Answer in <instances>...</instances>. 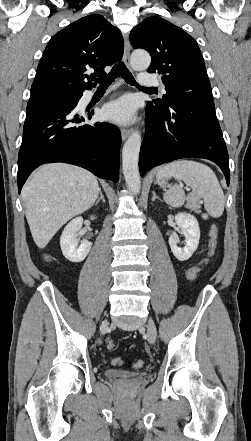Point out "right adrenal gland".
<instances>
[{
	"label": "right adrenal gland",
	"instance_id": "2a0ac1e0",
	"mask_svg": "<svg viewBox=\"0 0 251 441\" xmlns=\"http://www.w3.org/2000/svg\"><path fill=\"white\" fill-rule=\"evenodd\" d=\"M100 200H102V202L105 203V199H104V196H103V194H102L101 189L99 190V197H98V199H97V201H96V203H95V206L98 205V203L100 202Z\"/></svg>",
	"mask_w": 251,
	"mask_h": 441
}]
</instances>
